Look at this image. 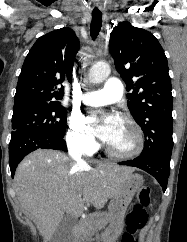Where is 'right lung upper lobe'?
<instances>
[{"instance_id":"cb5924a9","label":"right lung upper lobe","mask_w":187,"mask_h":242,"mask_svg":"<svg viewBox=\"0 0 187 242\" xmlns=\"http://www.w3.org/2000/svg\"><path fill=\"white\" fill-rule=\"evenodd\" d=\"M79 41L69 28L40 37L25 58L19 75L14 106L30 103H60L64 81H72Z\"/></svg>"}]
</instances>
